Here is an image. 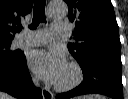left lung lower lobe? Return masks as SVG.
Instances as JSON below:
<instances>
[{"instance_id": "0a47b994", "label": "left lung lower lobe", "mask_w": 128, "mask_h": 99, "mask_svg": "<svg viewBox=\"0 0 128 99\" xmlns=\"http://www.w3.org/2000/svg\"><path fill=\"white\" fill-rule=\"evenodd\" d=\"M79 65L84 75L83 82L75 89L57 95V99L93 93L123 99L121 51L93 50Z\"/></svg>"}]
</instances>
